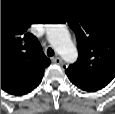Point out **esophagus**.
<instances>
[{
  "label": "esophagus",
  "mask_w": 115,
  "mask_h": 114,
  "mask_svg": "<svg viewBox=\"0 0 115 114\" xmlns=\"http://www.w3.org/2000/svg\"><path fill=\"white\" fill-rule=\"evenodd\" d=\"M52 62L55 63V64H58V65L63 63V61H62V59L60 57L52 58Z\"/></svg>",
  "instance_id": "obj_1"
}]
</instances>
